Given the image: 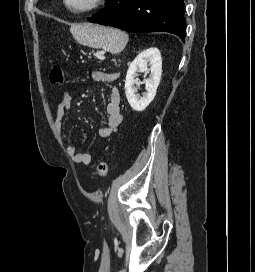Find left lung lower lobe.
<instances>
[{
	"label": "left lung lower lobe",
	"instance_id": "obj_1",
	"mask_svg": "<svg viewBox=\"0 0 255 272\" xmlns=\"http://www.w3.org/2000/svg\"><path fill=\"white\" fill-rule=\"evenodd\" d=\"M89 21L127 32L165 31L185 40L183 0H107L106 8Z\"/></svg>",
	"mask_w": 255,
	"mask_h": 272
}]
</instances>
